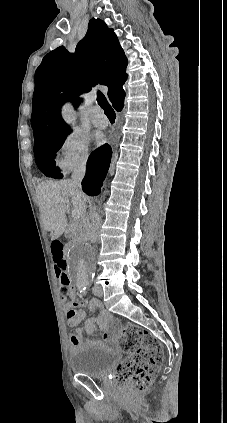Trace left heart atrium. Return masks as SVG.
I'll list each match as a JSON object with an SVG mask.
<instances>
[{
	"label": "left heart atrium",
	"instance_id": "obj_1",
	"mask_svg": "<svg viewBox=\"0 0 227 423\" xmlns=\"http://www.w3.org/2000/svg\"><path fill=\"white\" fill-rule=\"evenodd\" d=\"M102 140H103L102 136H101V135H97V137H96V141H97L98 143H100Z\"/></svg>",
	"mask_w": 227,
	"mask_h": 423
}]
</instances>
